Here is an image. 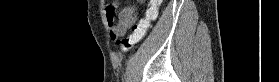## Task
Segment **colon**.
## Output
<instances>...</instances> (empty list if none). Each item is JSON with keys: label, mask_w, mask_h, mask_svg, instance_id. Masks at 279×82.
I'll return each mask as SVG.
<instances>
[{"label": "colon", "mask_w": 279, "mask_h": 82, "mask_svg": "<svg viewBox=\"0 0 279 82\" xmlns=\"http://www.w3.org/2000/svg\"><path fill=\"white\" fill-rule=\"evenodd\" d=\"M161 0L148 1L145 16L132 26L131 34L121 39V50L126 52L137 45L144 37L149 28V25L157 17L158 6Z\"/></svg>", "instance_id": "colon-1"}]
</instances>
